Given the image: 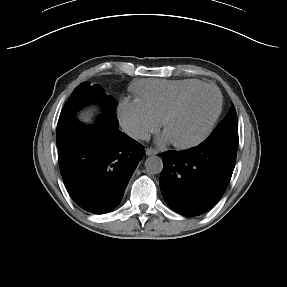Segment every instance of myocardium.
<instances>
[{
	"label": "myocardium",
	"mask_w": 287,
	"mask_h": 287,
	"mask_svg": "<svg viewBox=\"0 0 287 287\" xmlns=\"http://www.w3.org/2000/svg\"><path fill=\"white\" fill-rule=\"evenodd\" d=\"M203 89H208L213 91L216 94V98H217V103H216V108L214 110V113L212 115V117L210 118L209 122L207 123L206 127L203 129V131L196 136L195 138L188 140V141H184V142H175L172 141L173 145L177 148L180 149H189L192 147H195L197 145H199L200 143H202L211 133V131L213 130L220 114L222 111V95L220 93V91L213 85L210 84H200L198 86H195L193 88H190L189 90H187L186 92H184L173 104L172 106L169 108V110L167 111V113L165 114V116L162 119V126L164 131L166 132V128L169 124V122L179 113V111L181 110L182 106L184 105V103L187 101V99L193 95L194 93H196L197 91L203 90Z\"/></svg>",
	"instance_id": "myocardium-1"
}]
</instances>
